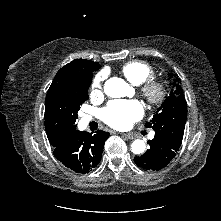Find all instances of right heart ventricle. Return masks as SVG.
Listing matches in <instances>:
<instances>
[{
  "label": "right heart ventricle",
  "instance_id": "right-heart-ventricle-1",
  "mask_svg": "<svg viewBox=\"0 0 221 221\" xmlns=\"http://www.w3.org/2000/svg\"><path fill=\"white\" fill-rule=\"evenodd\" d=\"M123 75L134 85H140L150 79L154 71L152 67L142 61H131L122 67Z\"/></svg>",
  "mask_w": 221,
  "mask_h": 221
}]
</instances>
